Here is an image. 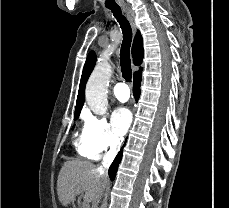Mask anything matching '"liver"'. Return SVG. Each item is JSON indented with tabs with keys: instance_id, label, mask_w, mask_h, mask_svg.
Listing matches in <instances>:
<instances>
[{
	"instance_id": "obj_1",
	"label": "liver",
	"mask_w": 229,
	"mask_h": 208,
	"mask_svg": "<svg viewBox=\"0 0 229 208\" xmlns=\"http://www.w3.org/2000/svg\"><path fill=\"white\" fill-rule=\"evenodd\" d=\"M106 184L107 180L104 182L94 164L71 158V162H65L59 172L57 182L59 202L67 208L70 202H74L77 194L85 192V204L93 202L92 208H97Z\"/></svg>"
}]
</instances>
